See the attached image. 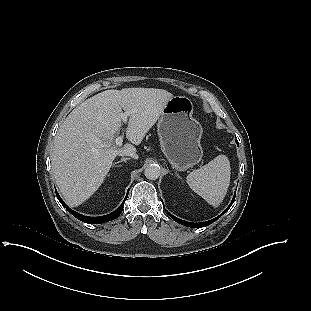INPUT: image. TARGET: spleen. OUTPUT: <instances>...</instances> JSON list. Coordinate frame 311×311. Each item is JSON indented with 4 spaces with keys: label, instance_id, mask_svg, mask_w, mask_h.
<instances>
[{
    "label": "spleen",
    "instance_id": "1",
    "mask_svg": "<svg viewBox=\"0 0 311 311\" xmlns=\"http://www.w3.org/2000/svg\"><path fill=\"white\" fill-rule=\"evenodd\" d=\"M230 162L225 155H218L208 164L188 174L189 187L208 204L216 207L224 199L231 176Z\"/></svg>",
    "mask_w": 311,
    "mask_h": 311
}]
</instances>
